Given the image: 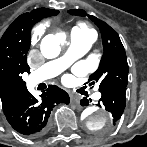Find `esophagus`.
<instances>
[{"label": "esophagus", "instance_id": "34e87169", "mask_svg": "<svg viewBox=\"0 0 147 147\" xmlns=\"http://www.w3.org/2000/svg\"><path fill=\"white\" fill-rule=\"evenodd\" d=\"M71 103L78 105L80 102V97L76 95H70Z\"/></svg>", "mask_w": 147, "mask_h": 147}]
</instances>
